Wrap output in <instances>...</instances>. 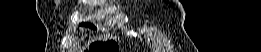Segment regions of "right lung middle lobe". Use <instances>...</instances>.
<instances>
[{
	"mask_svg": "<svg viewBox=\"0 0 261 52\" xmlns=\"http://www.w3.org/2000/svg\"><path fill=\"white\" fill-rule=\"evenodd\" d=\"M81 26H87V27H90V28H94L95 29V26L93 24H90V23H82L80 24Z\"/></svg>",
	"mask_w": 261,
	"mask_h": 52,
	"instance_id": "right-lung-middle-lobe-1",
	"label": "right lung middle lobe"
}]
</instances>
